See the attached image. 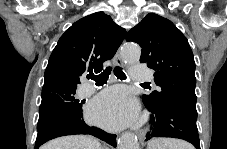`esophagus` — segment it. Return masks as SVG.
I'll return each mask as SVG.
<instances>
[{"mask_svg": "<svg viewBox=\"0 0 227 149\" xmlns=\"http://www.w3.org/2000/svg\"><path fill=\"white\" fill-rule=\"evenodd\" d=\"M114 62L116 65H123V60L120 55V50H118L114 56ZM137 135L140 138V141H143V138L145 137V130L144 129H139L137 131Z\"/></svg>", "mask_w": 227, "mask_h": 149, "instance_id": "esophagus-1", "label": "esophagus"}]
</instances>
